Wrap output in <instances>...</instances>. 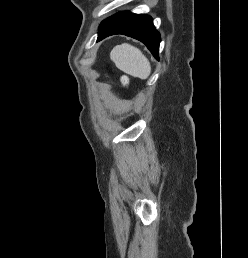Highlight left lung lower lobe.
Masks as SVG:
<instances>
[{
    "label": "left lung lower lobe",
    "mask_w": 248,
    "mask_h": 258,
    "mask_svg": "<svg viewBox=\"0 0 248 258\" xmlns=\"http://www.w3.org/2000/svg\"><path fill=\"white\" fill-rule=\"evenodd\" d=\"M114 34H123L144 43L156 59L158 58L160 34L148 15L120 12L104 20L98 32L100 41Z\"/></svg>",
    "instance_id": "0a47b994"
}]
</instances>
